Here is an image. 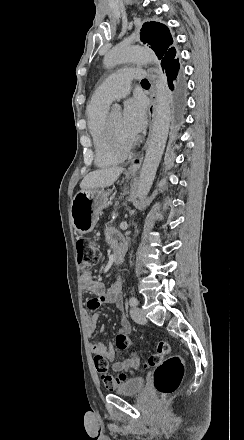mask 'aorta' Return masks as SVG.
I'll return each instance as SVG.
<instances>
[{"label":"aorta","instance_id":"762f6f07","mask_svg":"<svg viewBox=\"0 0 244 440\" xmlns=\"http://www.w3.org/2000/svg\"><path fill=\"white\" fill-rule=\"evenodd\" d=\"M128 61L154 65L158 63L156 55L149 49L138 46H119L112 49L105 56L104 64L107 68H112L117 64ZM155 97L156 105L153 129L137 187V197L140 200L147 196L153 184L170 127L171 97L165 75L160 68L156 76ZM115 107L119 108L117 105Z\"/></svg>","mask_w":244,"mask_h":440}]
</instances>
